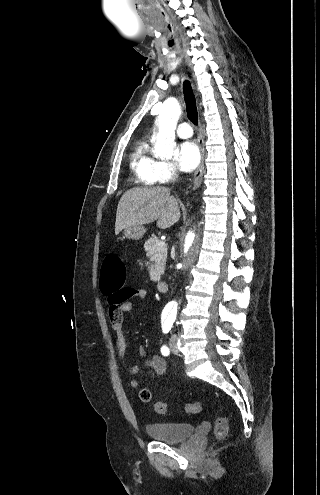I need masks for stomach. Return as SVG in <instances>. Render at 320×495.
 I'll use <instances>...</instances> for the list:
<instances>
[{
    "mask_svg": "<svg viewBox=\"0 0 320 495\" xmlns=\"http://www.w3.org/2000/svg\"><path fill=\"white\" fill-rule=\"evenodd\" d=\"M146 229L142 225H132L124 229V235L128 239L139 240L145 234Z\"/></svg>",
    "mask_w": 320,
    "mask_h": 495,
    "instance_id": "1",
    "label": "stomach"
}]
</instances>
